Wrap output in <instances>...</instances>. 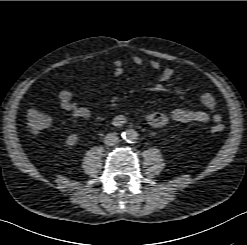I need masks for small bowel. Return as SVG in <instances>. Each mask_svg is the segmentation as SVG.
<instances>
[{"label":"small bowel","instance_id":"c3829d8e","mask_svg":"<svg viewBox=\"0 0 247 245\" xmlns=\"http://www.w3.org/2000/svg\"><path fill=\"white\" fill-rule=\"evenodd\" d=\"M133 64L141 66L144 60L140 56H133L131 58ZM149 66L155 70L161 68V64L157 60L149 61ZM113 72L116 76L124 74V66L120 60H115L112 63ZM174 75V70L170 67L162 69L160 79L163 82L170 80ZM60 106L63 110L70 113L75 118L88 120L91 117V110L73 101L71 91L63 89L59 92ZM202 104L210 111L216 108V100L212 93L206 92L201 96ZM212 119L214 122L221 121L219 114L210 116L207 112L191 108H178L170 113L165 112H151L147 115L146 120L148 124L154 128H161L169 124L171 121L180 123H204Z\"/></svg>","mask_w":247,"mask_h":245}]
</instances>
